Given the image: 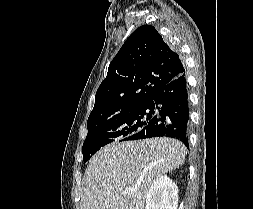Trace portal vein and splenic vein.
Masks as SVG:
<instances>
[{
    "mask_svg": "<svg viewBox=\"0 0 253 209\" xmlns=\"http://www.w3.org/2000/svg\"><path fill=\"white\" fill-rule=\"evenodd\" d=\"M134 189L133 188H131V187H129V188H127L126 190H125V192L127 193V194H133L134 193Z\"/></svg>",
    "mask_w": 253,
    "mask_h": 209,
    "instance_id": "18ae733b",
    "label": "portal vein and splenic vein"
}]
</instances>
